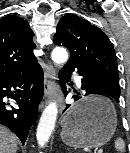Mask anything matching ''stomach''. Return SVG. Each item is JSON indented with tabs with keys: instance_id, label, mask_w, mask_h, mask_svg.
Instances as JSON below:
<instances>
[{
	"instance_id": "0dacf381",
	"label": "stomach",
	"mask_w": 130,
	"mask_h": 153,
	"mask_svg": "<svg viewBox=\"0 0 130 153\" xmlns=\"http://www.w3.org/2000/svg\"><path fill=\"white\" fill-rule=\"evenodd\" d=\"M61 138L74 148H98L113 136L117 115L105 97H87L72 107L61 121Z\"/></svg>"
}]
</instances>
